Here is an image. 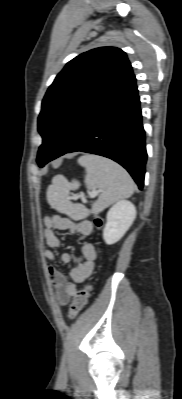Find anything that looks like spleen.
<instances>
[{
  "label": "spleen",
  "mask_w": 182,
  "mask_h": 399,
  "mask_svg": "<svg viewBox=\"0 0 182 399\" xmlns=\"http://www.w3.org/2000/svg\"><path fill=\"white\" fill-rule=\"evenodd\" d=\"M78 164L85 168L84 183L89 190H96L100 196L92 210L84 205L70 201V191L77 190L80 183L69 182L64 176L57 175L47 189V200L52 208L67 214L74 220L87 217L90 213H99L114 202L130 197L135 184L128 172L114 161L98 155L86 154L78 159Z\"/></svg>",
  "instance_id": "3e777b00"
}]
</instances>
